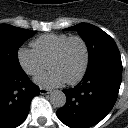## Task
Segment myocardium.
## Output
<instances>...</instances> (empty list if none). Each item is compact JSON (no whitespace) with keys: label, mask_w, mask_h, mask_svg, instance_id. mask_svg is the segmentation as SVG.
Returning a JSON list of instances; mask_svg holds the SVG:
<instances>
[{"label":"myocardium","mask_w":128,"mask_h":128,"mask_svg":"<svg viewBox=\"0 0 128 128\" xmlns=\"http://www.w3.org/2000/svg\"><path fill=\"white\" fill-rule=\"evenodd\" d=\"M73 40H78L79 42H81L83 48H84V64L83 67L80 71V73L73 79L65 81L66 84L68 85H74L77 84L78 82H80L83 77L85 76L88 67H89V62H90V50H89V45L87 43V41L78 35H72L70 37H68L58 48V50L56 51V53L51 57V59L48 61V66L50 63L59 60L60 58H62L66 47L68 46V44L73 41Z\"/></svg>","instance_id":"1"}]
</instances>
